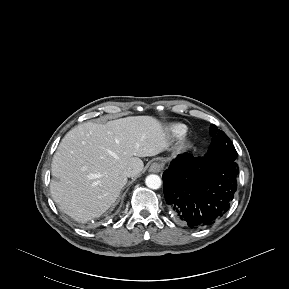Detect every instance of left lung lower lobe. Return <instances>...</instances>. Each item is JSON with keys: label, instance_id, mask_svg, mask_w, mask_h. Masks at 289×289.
Returning <instances> with one entry per match:
<instances>
[{"label": "left lung lower lobe", "instance_id": "obj_1", "mask_svg": "<svg viewBox=\"0 0 289 289\" xmlns=\"http://www.w3.org/2000/svg\"><path fill=\"white\" fill-rule=\"evenodd\" d=\"M237 174L235 161L220 163L206 154H180L163 173L166 203L191 228L211 225L228 211Z\"/></svg>", "mask_w": 289, "mask_h": 289}]
</instances>
